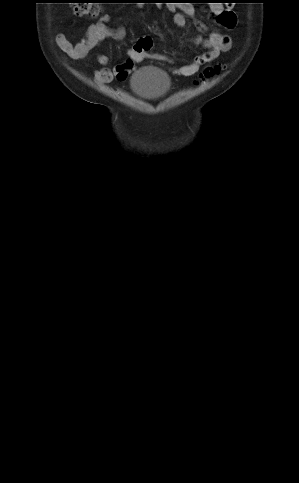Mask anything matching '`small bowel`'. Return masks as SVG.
<instances>
[{
  "label": "small bowel",
  "mask_w": 299,
  "mask_h": 483,
  "mask_svg": "<svg viewBox=\"0 0 299 483\" xmlns=\"http://www.w3.org/2000/svg\"><path fill=\"white\" fill-rule=\"evenodd\" d=\"M168 9L173 13L174 23L178 27H184L186 16L193 14V8L189 5H170ZM211 12L223 28L231 30L235 27L237 17L234 12L225 9L221 4H212ZM109 21L110 17L103 15L99 21L89 26L86 37L78 43H72L62 33L56 35V43L71 59H83L91 50L98 47L103 40L107 38L121 40L125 37V27L111 28L108 26ZM197 28L200 31L205 30V27L200 23L197 24ZM193 42L204 45L207 51L196 55L190 63L174 68L175 74L193 76L201 66L208 65L218 58L221 53L228 52L232 46L231 37L219 32H211L207 36L196 35L193 38ZM151 48L152 39L149 36L142 37L133 47L127 50L128 59L112 68L106 67L110 62V58L105 54H99L97 61L103 67L94 72V80L99 84L109 83L113 79L124 81L133 71L136 63L148 58L165 59L164 56L151 52Z\"/></svg>",
  "instance_id": "1"
}]
</instances>
